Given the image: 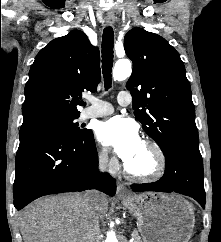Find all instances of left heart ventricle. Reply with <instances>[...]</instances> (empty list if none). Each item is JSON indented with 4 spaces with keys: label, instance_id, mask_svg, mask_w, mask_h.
Here are the masks:
<instances>
[{
    "label": "left heart ventricle",
    "instance_id": "1",
    "mask_svg": "<svg viewBox=\"0 0 221 242\" xmlns=\"http://www.w3.org/2000/svg\"><path fill=\"white\" fill-rule=\"evenodd\" d=\"M127 164L136 172H148L154 164L152 153L142 144L137 153L127 162Z\"/></svg>",
    "mask_w": 221,
    "mask_h": 242
}]
</instances>
